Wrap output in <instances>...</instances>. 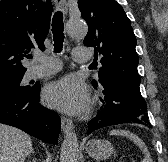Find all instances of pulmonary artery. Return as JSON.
I'll return each mask as SVG.
<instances>
[{
    "label": "pulmonary artery",
    "instance_id": "pulmonary-artery-1",
    "mask_svg": "<svg viewBox=\"0 0 168 162\" xmlns=\"http://www.w3.org/2000/svg\"><path fill=\"white\" fill-rule=\"evenodd\" d=\"M73 58L77 62H88L90 56L83 47H76L73 49ZM40 65L32 66L28 69L26 76L28 78H38L52 74L59 70L60 64L53 59L40 60Z\"/></svg>",
    "mask_w": 168,
    "mask_h": 162
}]
</instances>
